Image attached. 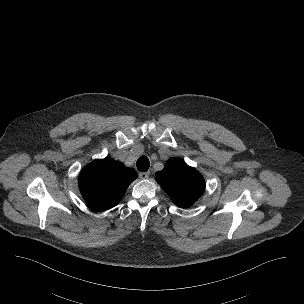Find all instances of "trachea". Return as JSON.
Wrapping results in <instances>:
<instances>
[{"label":"trachea","instance_id":"3493384b","mask_svg":"<svg viewBox=\"0 0 304 304\" xmlns=\"http://www.w3.org/2000/svg\"><path fill=\"white\" fill-rule=\"evenodd\" d=\"M136 165H137L138 170H140L142 172H146L149 169L150 162H149V159L146 156H141L137 160Z\"/></svg>","mask_w":304,"mask_h":304}]
</instances>
